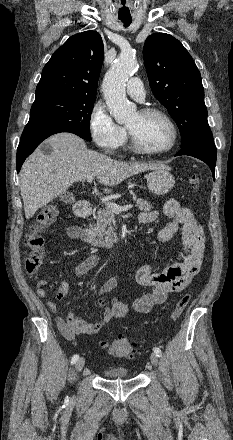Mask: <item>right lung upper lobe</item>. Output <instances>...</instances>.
<instances>
[{
	"instance_id": "1",
	"label": "right lung upper lobe",
	"mask_w": 233,
	"mask_h": 440,
	"mask_svg": "<svg viewBox=\"0 0 233 440\" xmlns=\"http://www.w3.org/2000/svg\"><path fill=\"white\" fill-rule=\"evenodd\" d=\"M102 62L99 33L85 31L71 36L45 65L34 103L57 97L96 98Z\"/></svg>"
}]
</instances>
